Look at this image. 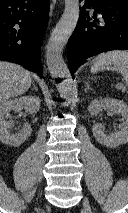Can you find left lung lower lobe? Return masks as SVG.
I'll return each mask as SVG.
<instances>
[{
    "instance_id": "1",
    "label": "left lung lower lobe",
    "mask_w": 128,
    "mask_h": 213,
    "mask_svg": "<svg viewBox=\"0 0 128 213\" xmlns=\"http://www.w3.org/2000/svg\"><path fill=\"white\" fill-rule=\"evenodd\" d=\"M90 7L95 9L93 16L85 10ZM122 49H128V0H86L68 41L71 74L89 57Z\"/></svg>"
}]
</instances>
